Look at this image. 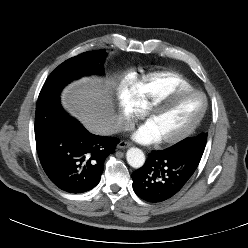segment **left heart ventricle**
Masks as SVG:
<instances>
[{
    "mask_svg": "<svg viewBox=\"0 0 248 248\" xmlns=\"http://www.w3.org/2000/svg\"><path fill=\"white\" fill-rule=\"evenodd\" d=\"M203 105V98L200 95H187L169 103L147 123L160 139L174 136L199 116Z\"/></svg>",
    "mask_w": 248,
    "mask_h": 248,
    "instance_id": "obj_1",
    "label": "left heart ventricle"
}]
</instances>
